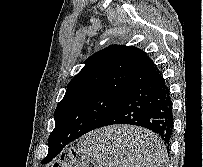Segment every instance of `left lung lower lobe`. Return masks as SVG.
Instances as JSON below:
<instances>
[{
  "label": "left lung lower lobe",
  "mask_w": 203,
  "mask_h": 167,
  "mask_svg": "<svg viewBox=\"0 0 203 167\" xmlns=\"http://www.w3.org/2000/svg\"><path fill=\"white\" fill-rule=\"evenodd\" d=\"M114 124L145 127L158 134L169 148L173 130L170 90L151 59L141 68L112 113L98 128ZM70 142V139L62 138L55 141L49 146L47 161L56 157Z\"/></svg>",
  "instance_id": "0a47b994"
}]
</instances>
